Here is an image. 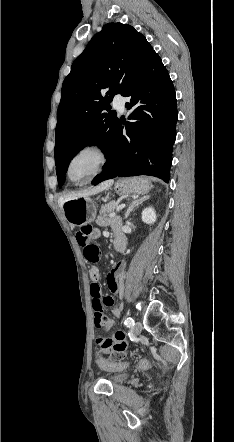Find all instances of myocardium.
<instances>
[{"label":"myocardium","instance_id":"obj_1","mask_svg":"<svg viewBox=\"0 0 234 442\" xmlns=\"http://www.w3.org/2000/svg\"><path fill=\"white\" fill-rule=\"evenodd\" d=\"M86 151H92L94 153L97 154L98 156V163L97 166L95 168V170L92 172V174L86 178L83 181H74L71 176H70V166L71 163L73 161V159L79 155L82 152H86ZM109 151L107 149V147L100 142H89L86 144L81 145L80 147H78L69 157L67 164H66V175L67 178L74 184L76 185H83V184H87L89 183L92 179H94L98 174H100L103 169L106 167V165L109 162Z\"/></svg>","mask_w":234,"mask_h":442}]
</instances>
